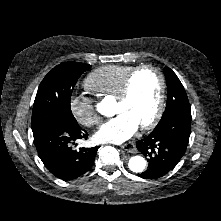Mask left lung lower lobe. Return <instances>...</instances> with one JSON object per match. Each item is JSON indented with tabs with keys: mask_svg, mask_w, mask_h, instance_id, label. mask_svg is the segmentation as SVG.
Wrapping results in <instances>:
<instances>
[{
	"mask_svg": "<svg viewBox=\"0 0 221 221\" xmlns=\"http://www.w3.org/2000/svg\"><path fill=\"white\" fill-rule=\"evenodd\" d=\"M191 133V111L176 112L160 121L145 138L136 142L147 157L148 168L139 176L157 179L172 170L186 151Z\"/></svg>",
	"mask_w": 221,
	"mask_h": 221,
	"instance_id": "0a47b994",
	"label": "left lung lower lobe"
}]
</instances>
